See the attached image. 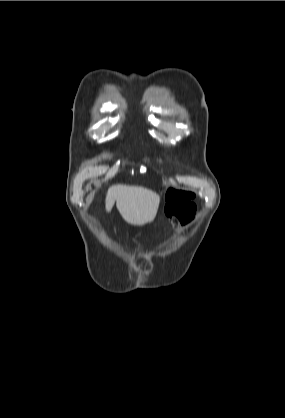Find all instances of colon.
I'll return each mask as SVG.
<instances>
[{"mask_svg":"<svg viewBox=\"0 0 285 418\" xmlns=\"http://www.w3.org/2000/svg\"><path fill=\"white\" fill-rule=\"evenodd\" d=\"M192 194L177 189L167 191L166 214L170 221L179 228L189 225L194 217Z\"/></svg>","mask_w":285,"mask_h":418,"instance_id":"1","label":"colon"}]
</instances>
